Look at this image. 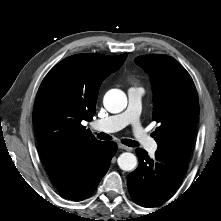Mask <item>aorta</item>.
<instances>
[{
  "instance_id": "aorta-1",
  "label": "aorta",
  "mask_w": 221,
  "mask_h": 221,
  "mask_svg": "<svg viewBox=\"0 0 221 221\" xmlns=\"http://www.w3.org/2000/svg\"><path fill=\"white\" fill-rule=\"evenodd\" d=\"M104 107L110 113H120L127 106L126 94L118 89L109 90L103 99ZM118 165L124 171H132L137 166V158L134 154L124 152L118 157Z\"/></svg>"
}]
</instances>
